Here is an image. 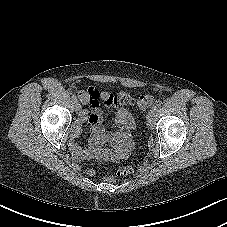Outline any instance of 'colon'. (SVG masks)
Returning a JSON list of instances; mask_svg holds the SVG:
<instances>
[{
	"label": "colon",
	"mask_w": 227,
	"mask_h": 227,
	"mask_svg": "<svg viewBox=\"0 0 227 227\" xmlns=\"http://www.w3.org/2000/svg\"><path fill=\"white\" fill-rule=\"evenodd\" d=\"M116 100L122 104H127L131 102L130 96L125 93L116 94ZM154 102H155V98L153 96L141 95L136 99L135 105L139 110H146L149 107H151ZM133 171H134V168L132 166L119 167L115 169L114 174L108 176L107 180L109 182H114L116 180V176L129 175V174H132ZM87 172L90 175H94L96 170L93 167H89L87 169Z\"/></svg>",
	"instance_id": "colon-1"
}]
</instances>
